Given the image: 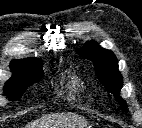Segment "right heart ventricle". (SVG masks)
<instances>
[{
    "mask_svg": "<svg viewBox=\"0 0 142 128\" xmlns=\"http://www.w3.org/2000/svg\"><path fill=\"white\" fill-rule=\"evenodd\" d=\"M70 95L75 97L76 95H80L84 93L85 87L82 82L77 77H72L69 82Z\"/></svg>",
    "mask_w": 142,
    "mask_h": 128,
    "instance_id": "right-heart-ventricle-1",
    "label": "right heart ventricle"
}]
</instances>
